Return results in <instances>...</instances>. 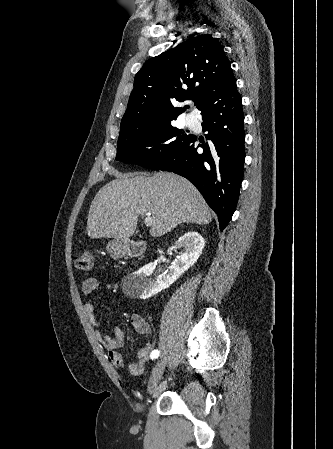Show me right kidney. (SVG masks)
<instances>
[{"mask_svg": "<svg viewBox=\"0 0 333 449\" xmlns=\"http://www.w3.org/2000/svg\"><path fill=\"white\" fill-rule=\"evenodd\" d=\"M176 247H184L185 251L180 253L168 268L167 273L158 275L155 279H149L156 264L148 263L135 272L137 284V295L141 299L150 298L162 290L170 287L185 271H187L198 260L205 246L204 238L197 232H187L175 243ZM162 253V251H159Z\"/></svg>", "mask_w": 333, "mask_h": 449, "instance_id": "right-kidney-1", "label": "right kidney"}]
</instances>
